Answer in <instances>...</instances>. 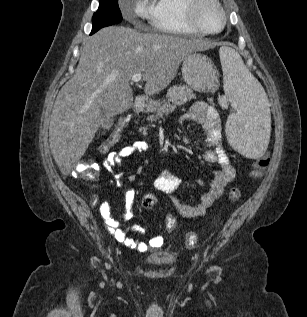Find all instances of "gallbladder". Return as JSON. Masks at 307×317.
<instances>
[{
	"label": "gallbladder",
	"mask_w": 307,
	"mask_h": 317,
	"mask_svg": "<svg viewBox=\"0 0 307 317\" xmlns=\"http://www.w3.org/2000/svg\"><path fill=\"white\" fill-rule=\"evenodd\" d=\"M101 118H102V129L108 130L113 125V117L109 115L104 109L101 110Z\"/></svg>",
	"instance_id": "1"
}]
</instances>
